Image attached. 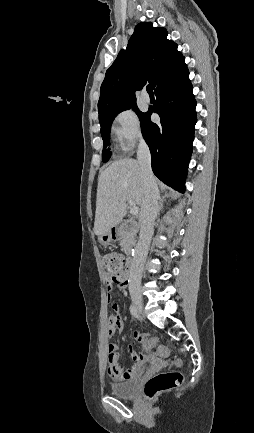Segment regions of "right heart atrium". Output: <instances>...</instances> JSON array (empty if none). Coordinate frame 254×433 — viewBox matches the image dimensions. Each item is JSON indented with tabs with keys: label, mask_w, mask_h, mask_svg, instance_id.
Instances as JSON below:
<instances>
[{
	"label": "right heart atrium",
	"mask_w": 254,
	"mask_h": 433,
	"mask_svg": "<svg viewBox=\"0 0 254 433\" xmlns=\"http://www.w3.org/2000/svg\"><path fill=\"white\" fill-rule=\"evenodd\" d=\"M111 133L118 148L123 152L131 151L143 139L139 118L131 109L121 110L115 115Z\"/></svg>",
	"instance_id": "1"
}]
</instances>
